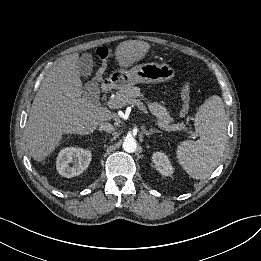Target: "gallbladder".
I'll use <instances>...</instances> for the list:
<instances>
[{"label": "gallbladder", "mask_w": 261, "mask_h": 261, "mask_svg": "<svg viewBox=\"0 0 261 261\" xmlns=\"http://www.w3.org/2000/svg\"><path fill=\"white\" fill-rule=\"evenodd\" d=\"M79 71L80 74L87 78L92 73L93 60L90 55H83L79 60ZM83 94L86 98L91 101H96L99 96V85L96 81H89L83 87Z\"/></svg>", "instance_id": "1"}]
</instances>
